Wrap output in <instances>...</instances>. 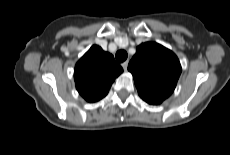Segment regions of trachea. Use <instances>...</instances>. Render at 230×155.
I'll return each mask as SVG.
<instances>
[{"mask_svg":"<svg viewBox=\"0 0 230 155\" xmlns=\"http://www.w3.org/2000/svg\"><path fill=\"white\" fill-rule=\"evenodd\" d=\"M115 57H116V60L121 63V62H124L127 59L128 54H127V52L125 50H119L116 53Z\"/></svg>","mask_w":230,"mask_h":155,"instance_id":"trachea-1","label":"trachea"}]
</instances>
